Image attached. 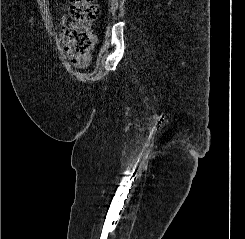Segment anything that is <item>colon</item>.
Wrapping results in <instances>:
<instances>
[{"mask_svg":"<svg viewBox=\"0 0 245 239\" xmlns=\"http://www.w3.org/2000/svg\"><path fill=\"white\" fill-rule=\"evenodd\" d=\"M71 22L64 31V38L76 56H88L96 45V35L91 23L99 15L95 0H69Z\"/></svg>","mask_w":245,"mask_h":239,"instance_id":"colon-1","label":"colon"}]
</instances>
